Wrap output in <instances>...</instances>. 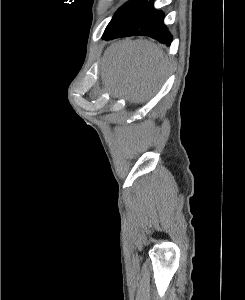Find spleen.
<instances>
[{
    "mask_svg": "<svg viewBox=\"0 0 245 300\" xmlns=\"http://www.w3.org/2000/svg\"><path fill=\"white\" fill-rule=\"evenodd\" d=\"M166 69L163 51L146 40L119 41L104 55L102 80L116 97L146 101Z\"/></svg>",
    "mask_w": 245,
    "mask_h": 300,
    "instance_id": "1",
    "label": "spleen"
}]
</instances>
